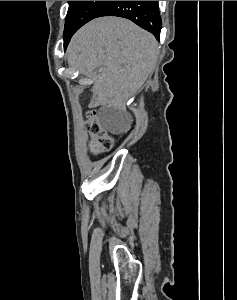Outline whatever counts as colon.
<instances>
[{
    "label": "colon",
    "instance_id": "colon-1",
    "mask_svg": "<svg viewBox=\"0 0 237 300\" xmlns=\"http://www.w3.org/2000/svg\"><path fill=\"white\" fill-rule=\"evenodd\" d=\"M85 128L91 136L90 148L93 154L98 155L112 148V139L101 127L95 111L87 112Z\"/></svg>",
    "mask_w": 237,
    "mask_h": 300
}]
</instances>
